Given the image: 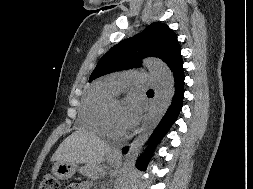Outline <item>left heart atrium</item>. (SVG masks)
I'll return each instance as SVG.
<instances>
[{
  "mask_svg": "<svg viewBox=\"0 0 253 189\" xmlns=\"http://www.w3.org/2000/svg\"><path fill=\"white\" fill-rule=\"evenodd\" d=\"M140 103L135 96H130L123 106V120L127 128L134 126L140 116Z\"/></svg>",
  "mask_w": 253,
  "mask_h": 189,
  "instance_id": "39dd6f15",
  "label": "left heart atrium"
}]
</instances>
